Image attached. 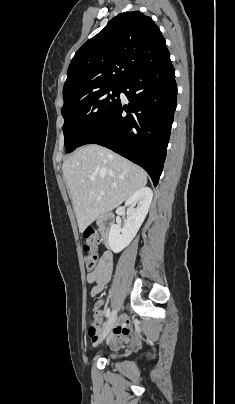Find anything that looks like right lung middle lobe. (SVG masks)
<instances>
[{
	"label": "right lung middle lobe",
	"instance_id": "right-lung-middle-lobe-1",
	"mask_svg": "<svg viewBox=\"0 0 235 404\" xmlns=\"http://www.w3.org/2000/svg\"><path fill=\"white\" fill-rule=\"evenodd\" d=\"M121 90L122 85H113L64 103L61 113L65 120L63 132L68 153L79 147L118 105Z\"/></svg>",
	"mask_w": 235,
	"mask_h": 404
}]
</instances>
